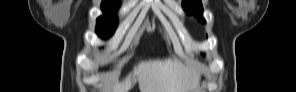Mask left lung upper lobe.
Returning <instances> with one entry per match:
<instances>
[{"instance_id":"5c2ea615","label":"left lung upper lobe","mask_w":296,"mask_h":92,"mask_svg":"<svg viewBox=\"0 0 296 92\" xmlns=\"http://www.w3.org/2000/svg\"><path fill=\"white\" fill-rule=\"evenodd\" d=\"M182 6L186 13L193 14L200 22L205 23L202 17L203 7L201 0H183Z\"/></svg>"}]
</instances>
